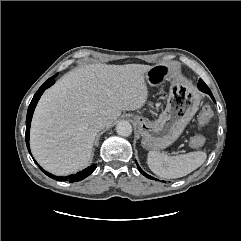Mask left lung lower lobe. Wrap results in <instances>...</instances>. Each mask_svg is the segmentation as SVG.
<instances>
[{"label":"left lung lower lobe","instance_id":"0a47b994","mask_svg":"<svg viewBox=\"0 0 241 241\" xmlns=\"http://www.w3.org/2000/svg\"><path fill=\"white\" fill-rule=\"evenodd\" d=\"M198 88H199L201 91L209 94V95L211 96V98L213 99V101L215 102V99H214V97H213L210 89L208 88V86H207L201 79H200L199 82H198ZM136 164H137V163H136ZM137 167H138L139 171H140L144 176H146L147 178H150V179H154L153 177H151V176H149L148 174H146V173L139 167L138 164H137Z\"/></svg>","mask_w":241,"mask_h":241}]
</instances>
